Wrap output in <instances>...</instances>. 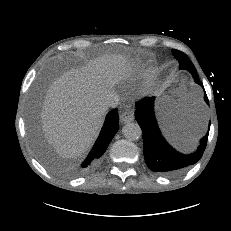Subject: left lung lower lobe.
Listing matches in <instances>:
<instances>
[{
    "instance_id": "0a47b994",
    "label": "left lung lower lobe",
    "mask_w": 231,
    "mask_h": 231,
    "mask_svg": "<svg viewBox=\"0 0 231 231\" xmlns=\"http://www.w3.org/2000/svg\"><path fill=\"white\" fill-rule=\"evenodd\" d=\"M195 82L203 87L199 78ZM204 100L209 104L205 93ZM153 97L144 98L136 103L135 118L143 132V153L150 170L165 176L183 173L202 157L207 145V134L200 140L197 150L184 154L175 150L162 137L153 111Z\"/></svg>"
}]
</instances>
